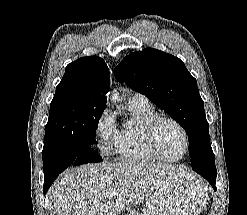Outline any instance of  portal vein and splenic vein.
I'll return each instance as SVG.
<instances>
[{"instance_id": "18ae733b", "label": "portal vein and splenic vein", "mask_w": 247, "mask_h": 215, "mask_svg": "<svg viewBox=\"0 0 247 215\" xmlns=\"http://www.w3.org/2000/svg\"><path fill=\"white\" fill-rule=\"evenodd\" d=\"M110 196H111V197H115V196H116V192H111V193H110Z\"/></svg>"}]
</instances>
